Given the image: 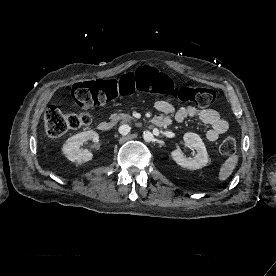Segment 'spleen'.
I'll return each mask as SVG.
<instances>
[{
    "label": "spleen",
    "mask_w": 276,
    "mask_h": 276,
    "mask_svg": "<svg viewBox=\"0 0 276 276\" xmlns=\"http://www.w3.org/2000/svg\"><path fill=\"white\" fill-rule=\"evenodd\" d=\"M238 162V157L236 155L230 156L220 167L219 174H218V180L220 182H223L227 180L234 169L236 168Z\"/></svg>",
    "instance_id": "3e777b00"
}]
</instances>
